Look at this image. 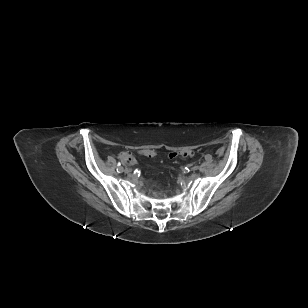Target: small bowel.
Returning <instances> with one entry per match:
<instances>
[{
	"label": "small bowel",
	"instance_id": "obj_1",
	"mask_svg": "<svg viewBox=\"0 0 308 308\" xmlns=\"http://www.w3.org/2000/svg\"><path fill=\"white\" fill-rule=\"evenodd\" d=\"M223 152H224V149H222V148L218 150V154H219V155H222Z\"/></svg>",
	"mask_w": 308,
	"mask_h": 308
}]
</instances>
